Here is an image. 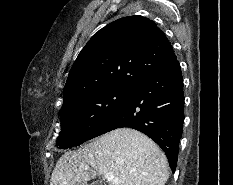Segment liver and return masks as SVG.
Instances as JSON below:
<instances>
[{"label": "liver", "instance_id": "obj_1", "mask_svg": "<svg viewBox=\"0 0 233 185\" xmlns=\"http://www.w3.org/2000/svg\"><path fill=\"white\" fill-rule=\"evenodd\" d=\"M107 173L116 180L109 185H165L169 178L168 161L160 147L139 131L121 128L77 151L65 152L56 163L50 185H87L97 174Z\"/></svg>", "mask_w": 233, "mask_h": 185}]
</instances>
